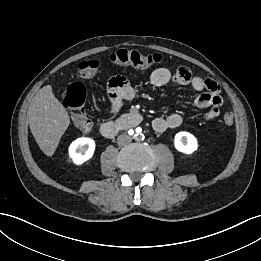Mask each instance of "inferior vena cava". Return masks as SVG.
<instances>
[{"label": "inferior vena cava", "mask_w": 261, "mask_h": 261, "mask_svg": "<svg viewBox=\"0 0 261 261\" xmlns=\"http://www.w3.org/2000/svg\"><path fill=\"white\" fill-rule=\"evenodd\" d=\"M131 140L132 139H131V137L129 135L121 134L117 138V143H118V145H125V144L131 142Z\"/></svg>", "instance_id": "602c4592"}]
</instances>
